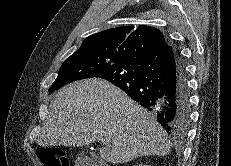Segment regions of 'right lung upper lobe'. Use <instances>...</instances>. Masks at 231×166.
I'll list each match as a JSON object with an SVG mask.
<instances>
[{"instance_id":"right-lung-upper-lobe-1","label":"right lung upper lobe","mask_w":231,"mask_h":166,"mask_svg":"<svg viewBox=\"0 0 231 166\" xmlns=\"http://www.w3.org/2000/svg\"><path fill=\"white\" fill-rule=\"evenodd\" d=\"M167 44L163 34L147 25L117 27L87 37L80 50H95L124 60L153 52Z\"/></svg>"}]
</instances>
